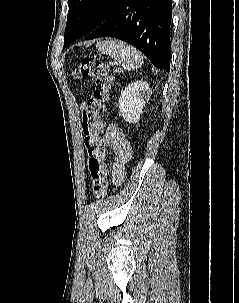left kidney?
Returning a JSON list of instances; mask_svg holds the SVG:
<instances>
[{
    "mask_svg": "<svg viewBox=\"0 0 239 303\" xmlns=\"http://www.w3.org/2000/svg\"><path fill=\"white\" fill-rule=\"evenodd\" d=\"M151 95L152 91L147 82L136 81L126 87L118 102L123 119L129 123H137Z\"/></svg>",
    "mask_w": 239,
    "mask_h": 303,
    "instance_id": "1",
    "label": "left kidney"
}]
</instances>
